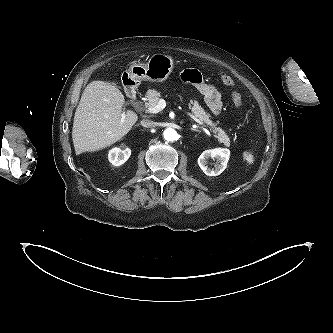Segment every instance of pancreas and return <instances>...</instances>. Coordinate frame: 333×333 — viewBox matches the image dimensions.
I'll use <instances>...</instances> for the list:
<instances>
[{
	"mask_svg": "<svg viewBox=\"0 0 333 333\" xmlns=\"http://www.w3.org/2000/svg\"><path fill=\"white\" fill-rule=\"evenodd\" d=\"M160 97L161 92L156 89H149L146 93V98L148 99V101L145 102L146 108H154L158 104ZM188 106L197 118H199L203 123H206L210 127L214 128L213 131L217 133V138L220 143H223L226 147L230 146V139L228 135L221 128L215 127V124L209 119L210 115L204 111L197 101L190 100Z\"/></svg>",
	"mask_w": 333,
	"mask_h": 333,
	"instance_id": "obj_1",
	"label": "pancreas"
}]
</instances>
